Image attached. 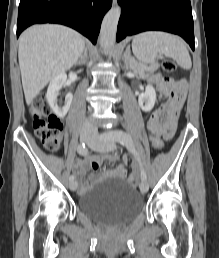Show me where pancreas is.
Wrapping results in <instances>:
<instances>
[{"instance_id":"pancreas-1","label":"pancreas","mask_w":219,"mask_h":258,"mask_svg":"<svg viewBox=\"0 0 219 258\" xmlns=\"http://www.w3.org/2000/svg\"><path fill=\"white\" fill-rule=\"evenodd\" d=\"M130 67L136 73L144 74L145 72L152 73V72L156 71L159 68V64L158 63H153L150 66H147L145 64L137 62L134 59H131Z\"/></svg>"}]
</instances>
